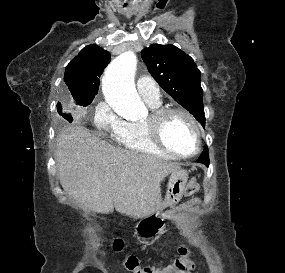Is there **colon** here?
<instances>
[{"instance_id": "1", "label": "colon", "mask_w": 285, "mask_h": 273, "mask_svg": "<svg viewBox=\"0 0 285 273\" xmlns=\"http://www.w3.org/2000/svg\"><path fill=\"white\" fill-rule=\"evenodd\" d=\"M199 190V184L196 178H192L185 189V196L191 197ZM115 250H120L123 247V242L116 239L113 242ZM125 268L128 273H192L195 268L192 251L187 246H180L178 249V257L169 268H152L142 267L139 265L138 259L134 256H129L124 261Z\"/></svg>"}]
</instances>
